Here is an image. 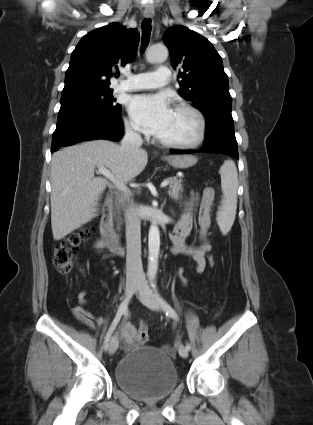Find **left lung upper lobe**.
Here are the masks:
<instances>
[{"mask_svg":"<svg viewBox=\"0 0 313 425\" xmlns=\"http://www.w3.org/2000/svg\"><path fill=\"white\" fill-rule=\"evenodd\" d=\"M174 69L179 68L178 93L192 102L206 120L232 119V98L222 58L203 36L185 26L171 27L163 35Z\"/></svg>","mask_w":313,"mask_h":425,"instance_id":"obj_1","label":"left lung upper lobe"}]
</instances>
